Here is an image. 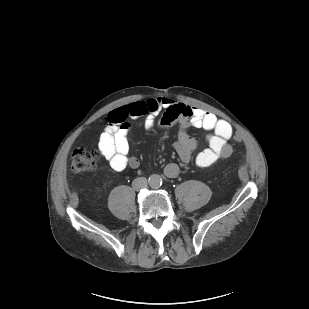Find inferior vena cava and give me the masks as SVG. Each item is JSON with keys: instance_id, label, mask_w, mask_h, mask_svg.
<instances>
[{"instance_id": "602c4592", "label": "inferior vena cava", "mask_w": 309, "mask_h": 309, "mask_svg": "<svg viewBox=\"0 0 309 309\" xmlns=\"http://www.w3.org/2000/svg\"><path fill=\"white\" fill-rule=\"evenodd\" d=\"M147 184H148V182H147V179L145 177H138V178L133 180L132 187L135 190H140L142 188L147 187Z\"/></svg>"}]
</instances>
